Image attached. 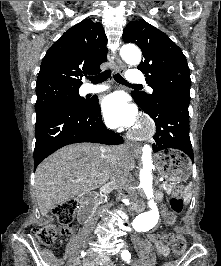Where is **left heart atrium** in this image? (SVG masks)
Masks as SVG:
<instances>
[{"instance_id":"39dd6f15","label":"left heart atrium","mask_w":221,"mask_h":266,"mask_svg":"<svg viewBox=\"0 0 221 266\" xmlns=\"http://www.w3.org/2000/svg\"><path fill=\"white\" fill-rule=\"evenodd\" d=\"M102 113L110 127H131L137 122L136 108L127 103L124 95L115 93L104 98Z\"/></svg>"}]
</instances>
